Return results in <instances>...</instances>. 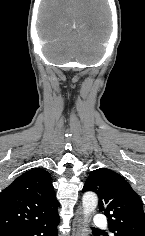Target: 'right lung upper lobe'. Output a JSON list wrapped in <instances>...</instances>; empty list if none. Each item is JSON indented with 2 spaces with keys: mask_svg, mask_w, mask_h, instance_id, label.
Returning <instances> with one entry per match:
<instances>
[{
  "mask_svg": "<svg viewBox=\"0 0 145 236\" xmlns=\"http://www.w3.org/2000/svg\"><path fill=\"white\" fill-rule=\"evenodd\" d=\"M50 174L33 169L0 194V233L32 228L58 217Z\"/></svg>",
  "mask_w": 145,
  "mask_h": 236,
  "instance_id": "cb5924a9",
  "label": "right lung upper lobe"
}]
</instances>
